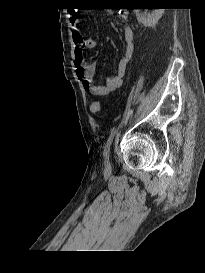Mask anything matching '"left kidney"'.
Here are the masks:
<instances>
[{"label": "left kidney", "mask_w": 205, "mask_h": 273, "mask_svg": "<svg viewBox=\"0 0 205 273\" xmlns=\"http://www.w3.org/2000/svg\"><path fill=\"white\" fill-rule=\"evenodd\" d=\"M136 17L139 23H142L145 27L154 26L158 20L162 17L165 10L153 9L148 15L142 13L141 9H135Z\"/></svg>", "instance_id": "1"}]
</instances>
